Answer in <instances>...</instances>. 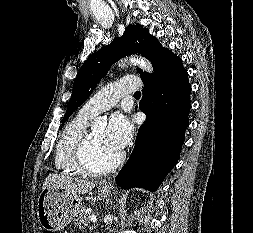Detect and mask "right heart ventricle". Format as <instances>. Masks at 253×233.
Here are the masks:
<instances>
[{"mask_svg": "<svg viewBox=\"0 0 253 233\" xmlns=\"http://www.w3.org/2000/svg\"><path fill=\"white\" fill-rule=\"evenodd\" d=\"M90 116L78 113L62 130L56 144L54 165L56 170L68 176H78L82 173L74 164L75 149L87 132Z\"/></svg>", "mask_w": 253, "mask_h": 233, "instance_id": "1", "label": "right heart ventricle"}]
</instances>
